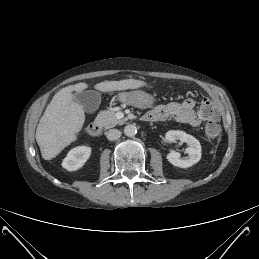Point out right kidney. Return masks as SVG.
I'll list each match as a JSON object with an SVG mask.
<instances>
[{
	"mask_svg": "<svg viewBox=\"0 0 259 259\" xmlns=\"http://www.w3.org/2000/svg\"><path fill=\"white\" fill-rule=\"evenodd\" d=\"M91 147L77 146L71 149L62 161V167L68 171H76L83 167L91 155Z\"/></svg>",
	"mask_w": 259,
	"mask_h": 259,
	"instance_id": "right-kidney-1",
	"label": "right kidney"
}]
</instances>
